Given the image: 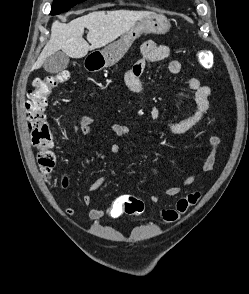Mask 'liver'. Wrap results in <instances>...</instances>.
<instances>
[{
    "instance_id": "obj_1",
    "label": "liver",
    "mask_w": 249,
    "mask_h": 294,
    "mask_svg": "<svg viewBox=\"0 0 249 294\" xmlns=\"http://www.w3.org/2000/svg\"><path fill=\"white\" fill-rule=\"evenodd\" d=\"M150 14L148 11L130 10L93 11L68 24L54 21L50 39L33 69H39L46 58L59 50L75 59L85 57L89 51L112 43ZM85 28L88 29L87 41L83 38Z\"/></svg>"
}]
</instances>
